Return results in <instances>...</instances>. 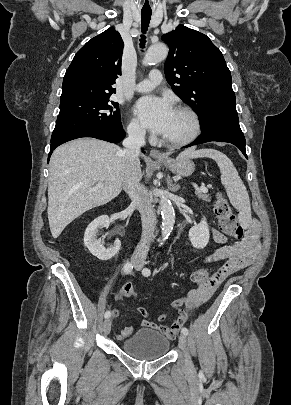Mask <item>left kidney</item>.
<instances>
[{
    "instance_id": "left-kidney-1",
    "label": "left kidney",
    "mask_w": 291,
    "mask_h": 405,
    "mask_svg": "<svg viewBox=\"0 0 291 405\" xmlns=\"http://www.w3.org/2000/svg\"><path fill=\"white\" fill-rule=\"evenodd\" d=\"M188 235L193 247H195L196 249L205 248L210 238L209 226L207 224L206 218L203 217L198 225L190 228Z\"/></svg>"
}]
</instances>
